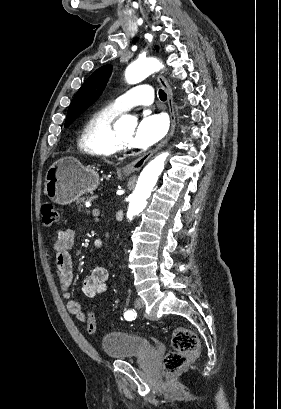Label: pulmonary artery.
Here are the masks:
<instances>
[{
    "instance_id": "pulmonary-artery-1",
    "label": "pulmonary artery",
    "mask_w": 281,
    "mask_h": 409,
    "mask_svg": "<svg viewBox=\"0 0 281 409\" xmlns=\"http://www.w3.org/2000/svg\"><path fill=\"white\" fill-rule=\"evenodd\" d=\"M147 83L140 81L138 86H133L131 90H125L123 97H118L116 102H113V111L123 112L128 111V108L133 109L134 106H150L154 97L153 90H145Z\"/></svg>"
}]
</instances>
